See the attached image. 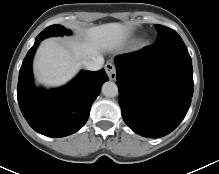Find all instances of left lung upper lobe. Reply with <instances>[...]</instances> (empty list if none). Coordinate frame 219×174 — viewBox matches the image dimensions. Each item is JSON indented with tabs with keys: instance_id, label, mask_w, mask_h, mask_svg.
Segmentation results:
<instances>
[{
	"instance_id": "1",
	"label": "left lung upper lobe",
	"mask_w": 219,
	"mask_h": 174,
	"mask_svg": "<svg viewBox=\"0 0 219 174\" xmlns=\"http://www.w3.org/2000/svg\"><path fill=\"white\" fill-rule=\"evenodd\" d=\"M155 29L158 32L155 43L164 41H182L181 37L169 27L163 25H155Z\"/></svg>"
}]
</instances>
